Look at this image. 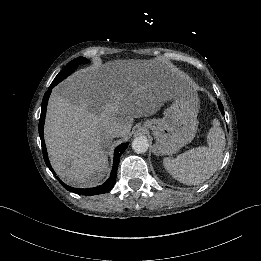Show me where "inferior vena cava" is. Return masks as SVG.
Masks as SVG:
<instances>
[{"instance_id": "obj_1", "label": "inferior vena cava", "mask_w": 261, "mask_h": 261, "mask_svg": "<svg viewBox=\"0 0 261 261\" xmlns=\"http://www.w3.org/2000/svg\"><path fill=\"white\" fill-rule=\"evenodd\" d=\"M108 132L113 136V137H119L121 136L122 133V127L120 124L114 123L112 126L108 128Z\"/></svg>"}]
</instances>
